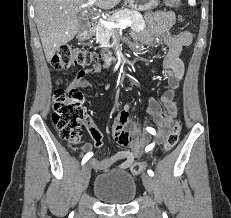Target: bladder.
<instances>
[{
    "label": "bladder",
    "instance_id": "1",
    "mask_svg": "<svg viewBox=\"0 0 231 218\" xmlns=\"http://www.w3.org/2000/svg\"><path fill=\"white\" fill-rule=\"evenodd\" d=\"M93 191L106 203H129L135 197L136 186L128 174L99 175L94 181Z\"/></svg>",
    "mask_w": 231,
    "mask_h": 218
}]
</instances>
